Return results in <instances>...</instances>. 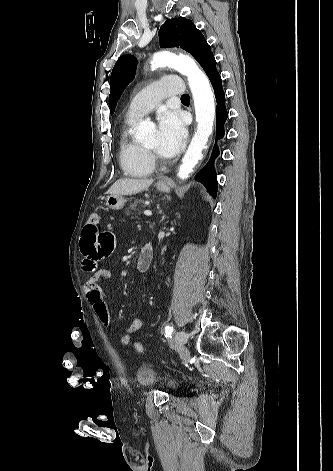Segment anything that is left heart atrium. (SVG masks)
<instances>
[{
	"mask_svg": "<svg viewBox=\"0 0 333 471\" xmlns=\"http://www.w3.org/2000/svg\"><path fill=\"white\" fill-rule=\"evenodd\" d=\"M186 139V127L182 117L173 111L164 110L158 115L157 152L172 157L180 152Z\"/></svg>",
	"mask_w": 333,
	"mask_h": 471,
	"instance_id": "left-heart-atrium-1",
	"label": "left heart atrium"
}]
</instances>
